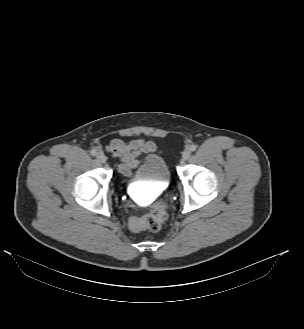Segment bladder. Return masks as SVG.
<instances>
[{
    "mask_svg": "<svg viewBox=\"0 0 304 329\" xmlns=\"http://www.w3.org/2000/svg\"><path fill=\"white\" fill-rule=\"evenodd\" d=\"M171 173L165 159L157 154L145 156L135 169L134 185L140 181L169 183Z\"/></svg>",
    "mask_w": 304,
    "mask_h": 329,
    "instance_id": "1",
    "label": "bladder"
}]
</instances>
